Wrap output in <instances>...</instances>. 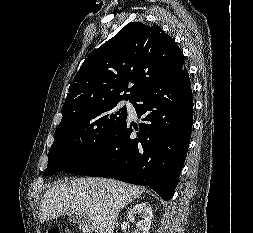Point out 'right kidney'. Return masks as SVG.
<instances>
[{
    "label": "right kidney",
    "instance_id": "obj_1",
    "mask_svg": "<svg viewBox=\"0 0 253 233\" xmlns=\"http://www.w3.org/2000/svg\"><path fill=\"white\" fill-rule=\"evenodd\" d=\"M140 216L142 220L136 224L135 233H149L152 221V208L148 202L136 204L128 213V219L134 221L136 216Z\"/></svg>",
    "mask_w": 253,
    "mask_h": 233
}]
</instances>
